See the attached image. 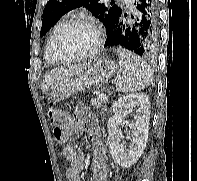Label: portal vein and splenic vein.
<instances>
[{
    "label": "portal vein and splenic vein",
    "mask_w": 197,
    "mask_h": 181,
    "mask_svg": "<svg viewBox=\"0 0 197 181\" xmlns=\"http://www.w3.org/2000/svg\"><path fill=\"white\" fill-rule=\"evenodd\" d=\"M98 98H99L100 100H102V101H105V100H106V96H105L104 93L99 94Z\"/></svg>",
    "instance_id": "obj_1"
}]
</instances>
